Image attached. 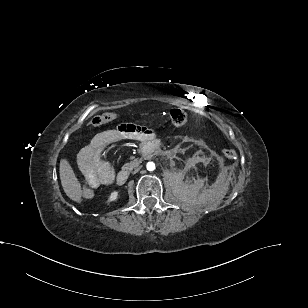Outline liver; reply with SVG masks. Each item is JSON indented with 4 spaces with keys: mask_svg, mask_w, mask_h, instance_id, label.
<instances>
[{
    "mask_svg": "<svg viewBox=\"0 0 308 308\" xmlns=\"http://www.w3.org/2000/svg\"><path fill=\"white\" fill-rule=\"evenodd\" d=\"M59 173L61 184L66 195L70 199L79 202L82 196L81 185L76 178L72 167L66 159H62L60 161Z\"/></svg>",
    "mask_w": 308,
    "mask_h": 308,
    "instance_id": "liver-1",
    "label": "liver"
}]
</instances>
